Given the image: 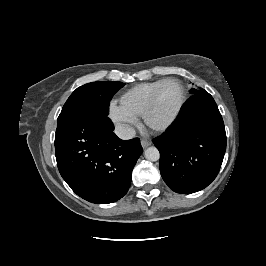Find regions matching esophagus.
I'll return each instance as SVG.
<instances>
[{"label":"esophagus","mask_w":266,"mask_h":266,"mask_svg":"<svg viewBox=\"0 0 266 266\" xmlns=\"http://www.w3.org/2000/svg\"><path fill=\"white\" fill-rule=\"evenodd\" d=\"M141 145L145 149V148H147L148 146L151 145V141L150 140H147V139H142L141 140Z\"/></svg>","instance_id":"obj_1"}]
</instances>
